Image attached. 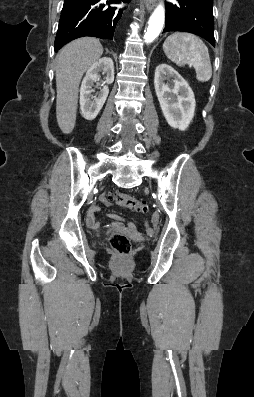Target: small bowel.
<instances>
[{
    "instance_id": "obj_1",
    "label": "small bowel",
    "mask_w": 254,
    "mask_h": 397,
    "mask_svg": "<svg viewBox=\"0 0 254 397\" xmlns=\"http://www.w3.org/2000/svg\"><path fill=\"white\" fill-rule=\"evenodd\" d=\"M101 202L105 205H109L110 201L109 198L107 196H102L101 197ZM100 210V208L98 206H92L87 214V218H86V222L87 225L93 229V230H99L102 227V224L99 220L96 219L95 217V213H97ZM109 217L112 218L115 222H114V227L118 228V229H122L123 228V223L122 220L119 216L115 215V214H109ZM147 233L148 234H152L153 233V229L149 228L147 229Z\"/></svg>"
}]
</instances>
